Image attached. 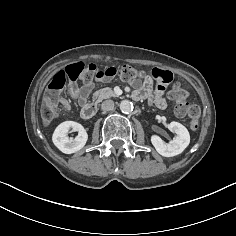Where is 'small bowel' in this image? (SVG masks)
I'll return each mask as SVG.
<instances>
[{"mask_svg": "<svg viewBox=\"0 0 236 236\" xmlns=\"http://www.w3.org/2000/svg\"><path fill=\"white\" fill-rule=\"evenodd\" d=\"M165 70L162 69H154L151 73V75H148L145 77L142 84L137 81H133L132 84L137 87V89L134 92V97L136 99H146L150 98V100L160 109H163L166 107L167 102L166 98L163 94V91L157 90L158 83L162 82L163 74L165 73ZM154 82L156 83V91H153V85ZM94 84L93 82H87L85 83L81 88L76 89H70V95L78 100V103L80 105H84L89 97V94L93 88ZM62 106L66 111L70 110V104L66 99H62Z\"/></svg>", "mask_w": 236, "mask_h": 236, "instance_id": "c3829d8e", "label": "small bowel"}]
</instances>
